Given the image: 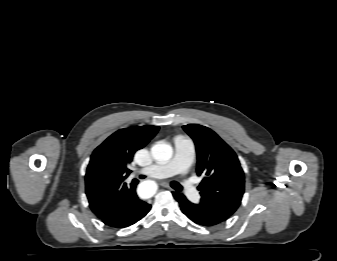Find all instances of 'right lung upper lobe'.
I'll list each match as a JSON object with an SVG mask.
<instances>
[{
    "mask_svg": "<svg viewBox=\"0 0 337 261\" xmlns=\"http://www.w3.org/2000/svg\"><path fill=\"white\" fill-rule=\"evenodd\" d=\"M158 126H134L120 129L108 137L91 155L85 176L86 195L91 210L104 217L132 186L124 180L134 153L143 148L158 132Z\"/></svg>",
    "mask_w": 337,
    "mask_h": 261,
    "instance_id": "1",
    "label": "right lung upper lobe"
}]
</instances>
